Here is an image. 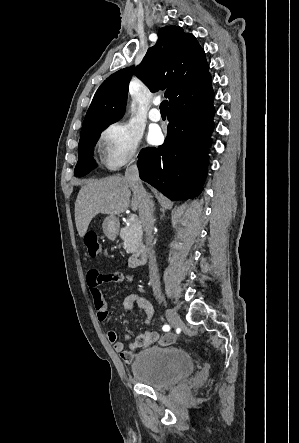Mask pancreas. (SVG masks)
Wrapping results in <instances>:
<instances>
[{
    "label": "pancreas",
    "mask_w": 299,
    "mask_h": 443,
    "mask_svg": "<svg viewBox=\"0 0 299 443\" xmlns=\"http://www.w3.org/2000/svg\"><path fill=\"white\" fill-rule=\"evenodd\" d=\"M142 227L139 221L124 226L120 231L123 240V247L127 253H133L140 246L142 241Z\"/></svg>",
    "instance_id": "1"
}]
</instances>
